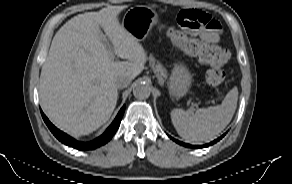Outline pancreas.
<instances>
[{"label":"pancreas","instance_id":"pancreas-1","mask_svg":"<svg viewBox=\"0 0 292 184\" xmlns=\"http://www.w3.org/2000/svg\"><path fill=\"white\" fill-rule=\"evenodd\" d=\"M150 65L156 73L158 80L163 83L164 79L167 77V70L159 62H156L153 57H150Z\"/></svg>","mask_w":292,"mask_h":184}]
</instances>
